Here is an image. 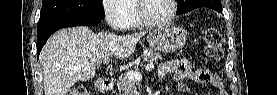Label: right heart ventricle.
<instances>
[{
  "label": "right heart ventricle",
  "mask_w": 277,
  "mask_h": 95,
  "mask_svg": "<svg viewBox=\"0 0 277 95\" xmlns=\"http://www.w3.org/2000/svg\"><path fill=\"white\" fill-rule=\"evenodd\" d=\"M135 0H125L122 4V7L126 11V16L124 18V26L127 27H138L142 25V22L139 20L136 11L134 10Z\"/></svg>",
  "instance_id": "e07e8e85"
}]
</instances>
